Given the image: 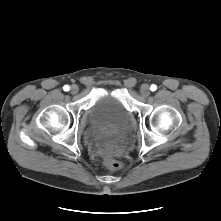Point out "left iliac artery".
<instances>
[{
  "label": "left iliac artery",
  "instance_id": "44dca946",
  "mask_svg": "<svg viewBox=\"0 0 221 221\" xmlns=\"http://www.w3.org/2000/svg\"><path fill=\"white\" fill-rule=\"evenodd\" d=\"M156 89H157V86L155 84H152L151 87H150V90L155 91Z\"/></svg>",
  "mask_w": 221,
  "mask_h": 221
}]
</instances>
